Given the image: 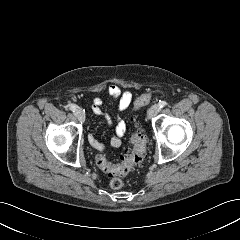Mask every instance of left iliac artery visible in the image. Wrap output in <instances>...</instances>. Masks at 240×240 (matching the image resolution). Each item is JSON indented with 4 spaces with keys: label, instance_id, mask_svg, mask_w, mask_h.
Wrapping results in <instances>:
<instances>
[{
    "label": "left iliac artery",
    "instance_id": "left-iliac-artery-1",
    "mask_svg": "<svg viewBox=\"0 0 240 240\" xmlns=\"http://www.w3.org/2000/svg\"><path fill=\"white\" fill-rule=\"evenodd\" d=\"M166 105H167V102H166V101H160V102H159L160 108H163V107H165Z\"/></svg>",
    "mask_w": 240,
    "mask_h": 240
}]
</instances>
